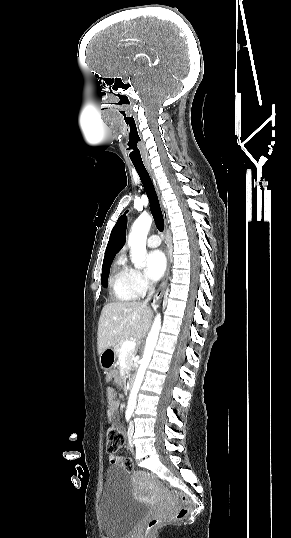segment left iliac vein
Masks as SVG:
<instances>
[{
  "label": "left iliac vein",
  "mask_w": 291,
  "mask_h": 538,
  "mask_svg": "<svg viewBox=\"0 0 291 538\" xmlns=\"http://www.w3.org/2000/svg\"><path fill=\"white\" fill-rule=\"evenodd\" d=\"M133 433H134V423H133V421H131V423L129 425V428H128V441H129V445L131 447H134Z\"/></svg>",
  "instance_id": "1"
}]
</instances>
